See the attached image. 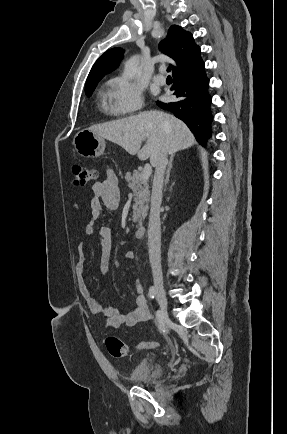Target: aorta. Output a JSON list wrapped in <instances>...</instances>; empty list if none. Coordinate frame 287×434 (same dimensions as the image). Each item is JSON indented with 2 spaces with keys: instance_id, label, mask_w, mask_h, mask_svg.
<instances>
[{
  "instance_id": "obj_1",
  "label": "aorta",
  "mask_w": 287,
  "mask_h": 434,
  "mask_svg": "<svg viewBox=\"0 0 287 434\" xmlns=\"http://www.w3.org/2000/svg\"><path fill=\"white\" fill-rule=\"evenodd\" d=\"M140 57H131L124 66V76L128 79L134 78L140 71L139 67Z\"/></svg>"
}]
</instances>
